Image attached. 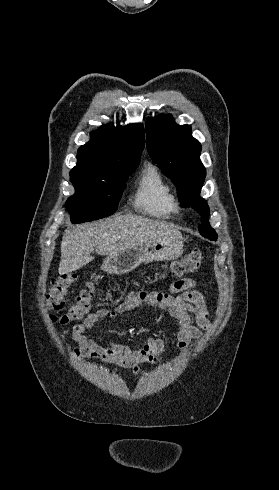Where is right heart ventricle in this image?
Returning a JSON list of instances; mask_svg holds the SVG:
<instances>
[{
    "mask_svg": "<svg viewBox=\"0 0 279 490\" xmlns=\"http://www.w3.org/2000/svg\"><path fill=\"white\" fill-rule=\"evenodd\" d=\"M135 206L145 215L157 219H173L180 214L178 193L157 165L150 163L142 170L135 193Z\"/></svg>",
    "mask_w": 279,
    "mask_h": 490,
    "instance_id": "right-heart-ventricle-1",
    "label": "right heart ventricle"
}]
</instances>
